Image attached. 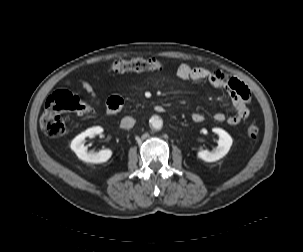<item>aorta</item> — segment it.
I'll return each mask as SVG.
<instances>
[{"mask_svg":"<svg viewBox=\"0 0 303 252\" xmlns=\"http://www.w3.org/2000/svg\"><path fill=\"white\" fill-rule=\"evenodd\" d=\"M150 126L155 130H160L163 126V121L160 117L154 116L150 119Z\"/></svg>","mask_w":303,"mask_h":252,"instance_id":"762f6f07","label":"aorta"}]
</instances>
